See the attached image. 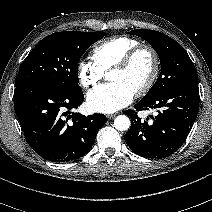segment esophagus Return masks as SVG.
I'll list each match as a JSON object with an SVG mask.
<instances>
[{"label":"esophagus","instance_id":"34e87169","mask_svg":"<svg viewBox=\"0 0 212 212\" xmlns=\"http://www.w3.org/2000/svg\"><path fill=\"white\" fill-rule=\"evenodd\" d=\"M115 116H116V114H109V115H107V118L108 119H113V118H115Z\"/></svg>","mask_w":212,"mask_h":212}]
</instances>
